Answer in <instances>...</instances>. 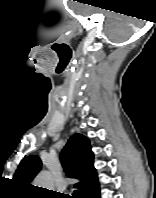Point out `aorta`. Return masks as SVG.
<instances>
[{
    "label": "aorta",
    "mask_w": 156,
    "mask_h": 198,
    "mask_svg": "<svg viewBox=\"0 0 156 198\" xmlns=\"http://www.w3.org/2000/svg\"><path fill=\"white\" fill-rule=\"evenodd\" d=\"M35 186L47 188L50 190V188L53 187V176L50 172L44 171L41 172L35 179Z\"/></svg>",
    "instance_id": "1"
}]
</instances>
